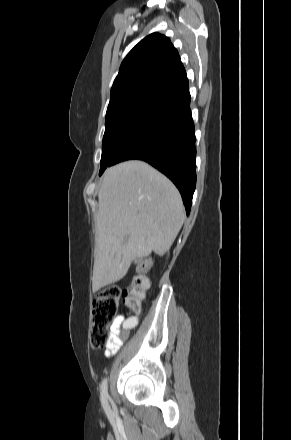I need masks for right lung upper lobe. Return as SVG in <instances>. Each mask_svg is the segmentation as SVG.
Here are the masks:
<instances>
[{
	"label": "right lung upper lobe",
	"instance_id": "right-lung-upper-lobe-1",
	"mask_svg": "<svg viewBox=\"0 0 291 440\" xmlns=\"http://www.w3.org/2000/svg\"><path fill=\"white\" fill-rule=\"evenodd\" d=\"M185 78V69L169 38L152 33L141 40L122 62L109 104L135 97L156 98Z\"/></svg>",
	"mask_w": 291,
	"mask_h": 440
}]
</instances>
